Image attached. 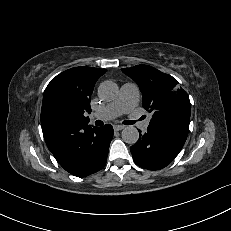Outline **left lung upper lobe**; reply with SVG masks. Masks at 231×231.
<instances>
[{
	"instance_id": "1",
	"label": "left lung upper lobe",
	"mask_w": 231,
	"mask_h": 231,
	"mask_svg": "<svg viewBox=\"0 0 231 231\" xmlns=\"http://www.w3.org/2000/svg\"><path fill=\"white\" fill-rule=\"evenodd\" d=\"M122 71L138 84L143 107L153 113L150 124L188 133L191 104L175 78L148 65L123 68Z\"/></svg>"
}]
</instances>
